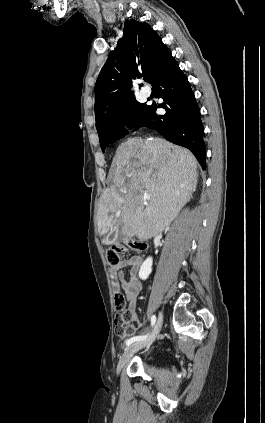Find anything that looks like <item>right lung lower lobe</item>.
Wrapping results in <instances>:
<instances>
[{"label": "right lung lower lobe", "mask_w": 265, "mask_h": 423, "mask_svg": "<svg viewBox=\"0 0 265 423\" xmlns=\"http://www.w3.org/2000/svg\"><path fill=\"white\" fill-rule=\"evenodd\" d=\"M163 103L158 107L166 110L157 115L156 104L149 106L144 119L137 126L158 131L166 140L188 148L205 169V145L200 111L189 82L173 59L153 80Z\"/></svg>", "instance_id": "right-lung-lower-lobe-1"}]
</instances>
